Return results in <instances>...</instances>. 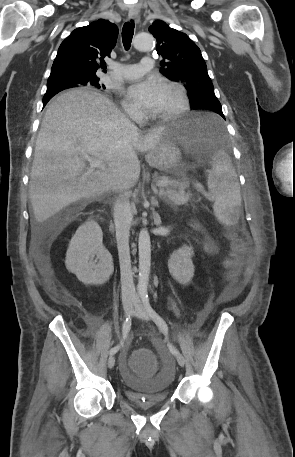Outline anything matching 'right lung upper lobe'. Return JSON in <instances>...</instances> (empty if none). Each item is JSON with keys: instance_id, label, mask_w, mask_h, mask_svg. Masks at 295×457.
Wrapping results in <instances>:
<instances>
[{"instance_id": "1", "label": "right lung upper lobe", "mask_w": 295, "mask_h": 457, "mask_svg": "<svg viewBox=\"0 0 295 457\" xmlns=\"http://www.w3.org/2000/svg\"><path fill=\"white\" fill-rule=\"evenodd\" d=\"M117 37V26L104 19L72 31L58 49L47 85L79 86L85 85L89 78L97 77L99 69L105 71L104 59L110 57Z\"/></svg>"}]
</instances>
